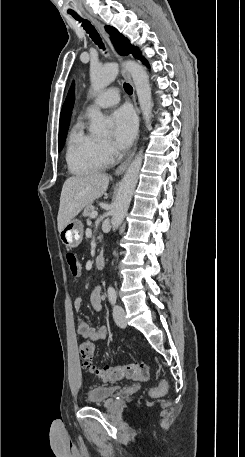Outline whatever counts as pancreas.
I'll return each mask as SVG.
<instances>
[{"label": "pancreas", "instance_id": "1", "mask_svg": "<svg viewBox=\"0 0 245 457\" xmlns=\"http://www.w3.org/2000/svg\"><path fill=\"white\" fill-rule=\"evenodd\" d=\"M93 210H95L93 204H91V202H89V204H85V208L83 210V216H90L91 212H93Z\"/></svg>", "mask_w": 245, "mask_h": 457}]
</instances>
